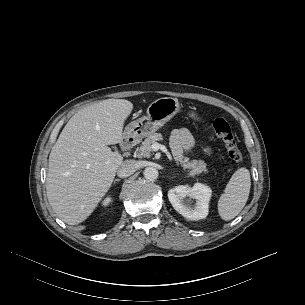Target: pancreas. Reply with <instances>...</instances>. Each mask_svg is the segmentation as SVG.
<instances>
[{
  "label": "pancreas",
  "instance_id": "cf45deb5",
  "mask_svg": "<svg viewBox=\"0 0 305 305\" xmlns=\"http://www.w3.org/2000/svg\"><path fill=\"white\" fill-rule=\"evenodd\" d=\"M163 137L160 133H153L149 135L141 144L139 148H137V154L139 157H150L152 152V145L156 143V141H162ZM176 164L180 165L184 171L188 169V174L190 176H195L200 173H206L208 169L206 168V163L202 160H189L186 156H181L176 158Z\"/></svg>",
  "mask_w": 305,
  "mask_h": 305
}]
</instances>
